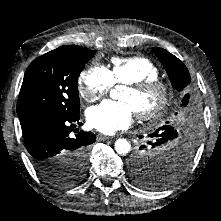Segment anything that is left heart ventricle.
<instances>
[{
    "label": "left heart ventricle",
    "mask_w": 221,
    "mask_h": 221,
    "mask_svg": "<svg viewBox=\"0 0 221 221\" xmlns=\"http://www.w3.org/2000/svg\"><path fill=\"white\" fill-rule=\"evenodd\" d=\"M120 100L131 105L134 112H145L154 109L160 102V94L157 91L143 95H137L125 88L120 95Z\"/></svg>",
    "instance_id": "left-heart-ventricle-1"
}]
</instances>
